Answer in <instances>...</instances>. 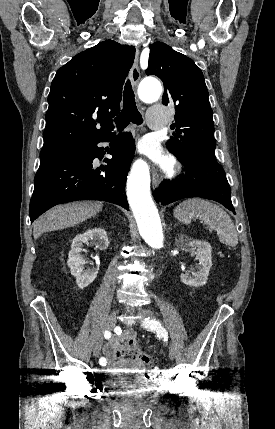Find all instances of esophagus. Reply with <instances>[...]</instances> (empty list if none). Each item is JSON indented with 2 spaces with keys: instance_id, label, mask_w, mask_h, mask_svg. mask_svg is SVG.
<instances>
[{
  "instance_id": "esophagus-1",
  "label": "esophagus",
  "mask_w": 275,
  "mask_h": 429,
  "mask_svg": "<svg viewBox=\"0 0 275 429\" xmlns=\"http://www.w3.org/2000/svg\"><path fill=\"white\" fill-rule=\"evenodd\" d=\"M140 69H139V48H136V55L134 59V63L131 69V83L133 87H136L140 80ZM161 176L157 169H153L152 171V184L154 188H157L160 184Z\"/></svg>"
}]
</instances>
